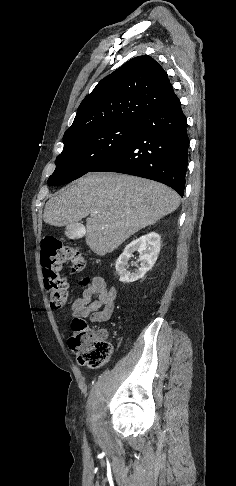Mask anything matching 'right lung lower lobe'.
<instances>
[{
  "label": "right lung lower lobe",
  "mask_w": 236,
  "mask_h": 486,
  "mask_svg": "<svg viewBox=\"0 0 236 486\" xmlns=\"http://www.w3.org/2000/svg\"><path fill=\"white\" fill-rule=\"evenodd\" d=\"M134 138L91 172H118L166 184L183 196L188 165L187 119L181 103L137 122Z\"/></svg>",
  "instance_id": "1"
}]
</instances>
